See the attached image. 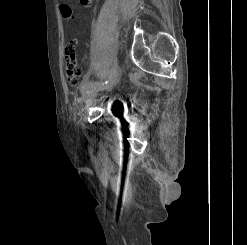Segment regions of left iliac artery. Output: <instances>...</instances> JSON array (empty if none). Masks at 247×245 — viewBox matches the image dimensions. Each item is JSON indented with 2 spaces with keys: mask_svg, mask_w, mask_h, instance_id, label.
Instances as JSON below:
<instances>
[{
  "mask_svg": "<svg viewBox=\"0 0 247 245\" xmlns=\"http://www.w3.org/2000/svg\"><path fill=\"white\" fill-rule=\"evenodd\" d=\"M116 71L115 68L112 69V74ZM98 85V86H104L108 84V81L102 82V83H98V82H90V81H85L83 82L82 86H81V92H87L88 89L93 85Z\"/></svg>",
  "mask_w": 247,
  "mask_h": 245,
  "instance_id": "left-iliac-artery-1",
  "label": "left iliac artery"
}]
</instances>
